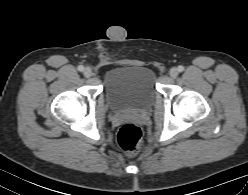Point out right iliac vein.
<instances>
[{"instance_id": "obj_1", "label": "right iliac vein", "mask_w": 248, "mask_h": 195, "mask_svg": "<svg viewBox=\"0 0 248 195\" xmlns=\"http://www.w3.org/2000/svg\"><path fill=\"white\" fill-rule=\"evenodd\" d=\"M83 74H84L85 77H90V76H92V70H91V68L86 67V68L84 69V71H83Z\"/></svg>"}]
</instances>
